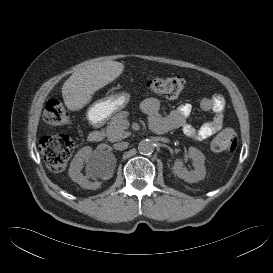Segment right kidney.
Segmentation results:
<instances>
[{"label": "right kidney", "mask_w": 273, "mask_h": 273, "mask_svg": "<svg viewBox=\"0 0 273 273\" xmlns=\"http://www.w3.org/2000/svg\"><path fill=\"white\" fill-rule=\"evenodd\" d=\"M92 149L90 147L82 148L73 158L70 168L68 171L69 177L81 187L87 189H96L98 188L97 184L90 183L87 180V177L83 176L81 170L83 168L84 161L88 160V173L96 174L97 176H106L108 174V166H105L104 163L100 160L94 159L91 157Z\"/></svg>", "instance_id": "1"}]
</instances>
